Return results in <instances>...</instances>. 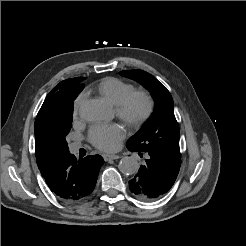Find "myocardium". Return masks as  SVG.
Segmentation results:
<instances>
[{"label":"myocardium","instance_id":"1","mask_svg":"<svg viewBox=\"0 0 246 246\" xmlns=\"http://www.w3.org/2000/svg\"><path fill=\"white\" fill-rule=\"evenodd\" d=\"M138 102L142 103V110L139 113H134V106ZM154 109V97L149 91L143 89L134 90L115 105L118 118L133 129L142 127L151 118Z\"/></svg>","mask_w":246,"mask_h":246}]
</instances>
